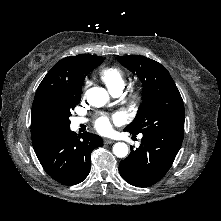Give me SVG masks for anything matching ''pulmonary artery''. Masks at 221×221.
Segmentation results:
<instances>
[{
  "instance_id": "e3ab8cb5",
  "label": "pulmonary artery",
  "mask_w": 221,
  "mask_h": 221,
  "mask_svg": "<svg viewBox=\"0 0 221 221\" xmlns=\"http://www.w3.org/2000/svg\"><path fill=\"white\" fill-rule=\"evenodd\" d=\"M121 93H122V89H118V90H115V91L111 92V94H112L113 96H115V97L120 96ZM85 121H86V120H85L84 118H76V119L74 120V124H75V125H79V124H81V123H84Z\"/></svg>"
}]
</instances>
